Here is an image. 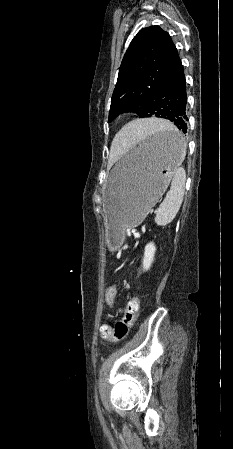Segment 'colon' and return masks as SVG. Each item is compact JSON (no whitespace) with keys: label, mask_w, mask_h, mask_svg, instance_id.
Listing matches in <instances>:
<instances>
[{"label":"colon","mask_w":233,"mask_h":449,"mask_svg":"<svg viewBox=\"0 0 233 449\" xmlns=\"http://www.w3.org/2000/svg\"><path fill=\"white\" fill-rule=\"evenodd\" d=\"M119 286L120 283L117 280H114L107 285V288L105 289V301L109 306L114 304ZM139 307V298L137 296L130 297L122 319L116 321L113 327L106 326L102 330V336L113 342L124 340L137 319Z\"/></svg>","instance_id":"colon-1"}]
</instances>
